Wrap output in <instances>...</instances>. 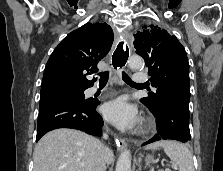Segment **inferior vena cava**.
I'll list each match as a JSON object with an SVG mask.
<instances>
[{
	"instance_id": "602c4592",
	"label": "inferior vena cava",
	"mask_w": 223,
	"mask_h": 171,
	"mask_svg": "<svg viewBox=\"0 0 223 171\" xmlns=\"http://www.w3.org/2000/svg\"><path fill=\"white\" fill-rule=\"evenodd\" d=\"M103 137L108 138L107 134H104ZM105 148L101 143L98 145L92 171H106Z\"/></svg>"
}]
</instances>
